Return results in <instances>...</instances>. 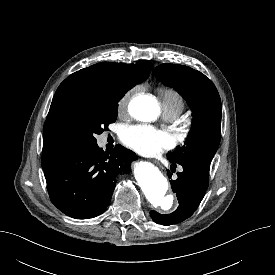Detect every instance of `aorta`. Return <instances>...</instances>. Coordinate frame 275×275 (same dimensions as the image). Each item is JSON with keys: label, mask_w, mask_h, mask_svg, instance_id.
Wrapping results in <instances>:
<instances>
[{"label": "aorta", "mask_w": 275, "mask_h": 275, "mask_svg": "<svg viewBox=\"0 0 275 275\" xmlns=\"http://www.w3.org/2000/svg\"><path fill=\"white\" fill-rule=\"evenodd\" d=\"M129 113L139 121L149 122L157 118L160 107L157 100L150 95H138L129 103ZM135 179L146 199L154 206L169 210L173 205V196L166 195L167 179L151 163L140 162L134 168Z\"/></svg>", "instance_id": "1"}]
</instances>
